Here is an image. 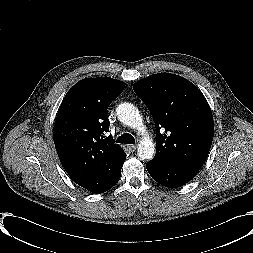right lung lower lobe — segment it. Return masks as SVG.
<instances>
[{"label": "right lung lower lobe", "mask_w": 253, "mask_h": 253, "mask_svg": "<svg viewBox=\"0 0 253 253\" xmlns=\"http://www.w3.org/2000/svg\"><path fill=\"white\" fill-rule=\"evenodd\" d=\"M120 176H121V172L110 182V184L101 193L112 188L119 181Z\"/></svg>", "instance_id": "1"}]
</instances>
